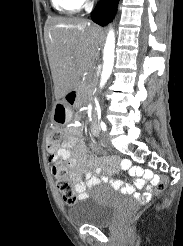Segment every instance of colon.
Masks as SVG:
<instances>
[{
    "instance_id": "1",
    "label": "colon",
    "mask_w": 183,
    "mask_h": 246,
    "mask_svg": "<svg viewBox=\"0 0 183 246\" xmlns=\"http://www.w3.org/2000/svg\"><path fill=\"white\" fill-rule=\"evenodd\" d=\"M67 114L63 106H59L55 112V120L58 123H63L66 120ZM64 133L57 126H52L47 132V149L49 151H55L64 141ZM103 149H97L96 153L99 157H104ZM53 174L57 179V187L62 194L63 200L67 205H74L77 201L75 195L74 181L68 176V173L64 166L56 164L53 167ZM145 176V175H143ZM157 185V193L162 192L167 186V178L161 177V182H155Z\"/></svg>"
}]
</instances>
